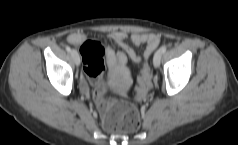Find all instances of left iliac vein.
<instances>
[{
	"mask_svg": "<svg viewBox=\"0 0 238 145\" xmlns=\"http://www.w3.org/2000/svg\"><path fill=\"white\" fill-rule=\"evenodd\" d=\"M161 57H162V54L160 51H157L153 57V65L154 67H159L160 65V62H161Z\"/></svg>",
	"mask_w": 238,
	"mask_h": 145,
	"instance_id": "1",
	"label": "left iliac vein"
}]
</instances>
